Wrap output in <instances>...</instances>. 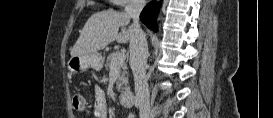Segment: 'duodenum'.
I'll return each instance as SVG.
<instances>
[{
  "label": "duodenum",
  "mask_w": 273,
  "mask_h": 118,
  "mask_svg": "<svg viewBox=\"0 0 273 118\" xmlns=\"http://www.w3.org/2000/svg\"><path fill=\"white\" fill-rule=\"evenodd\" d=\"M120 103L125 107H134L136 104L135 94L131 90L121 92Z\"/></svg>",
  "instance_id": "duodenum-1"
}]
</instances>
